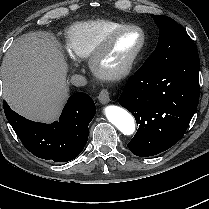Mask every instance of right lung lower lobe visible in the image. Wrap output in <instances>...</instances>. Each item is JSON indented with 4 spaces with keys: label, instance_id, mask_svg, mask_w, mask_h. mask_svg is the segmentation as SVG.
<instances>
[{
    "label": "right lung lower lobe",
    "instance_id": "1",
    "mask_svg": "<svg viewBox=\"0 0 209 209\" xmlns=\"http://www.w3.org/2000/svg\"><path fill=\"white\" fill-rule=\"evenodd\" d=\"M7 120L25 148L33 155L54 162L76 158L88 140V125L96 107L91 97L77 92L68 99L58 121L52 124L30 121L3 101Z\"/></svg>",
    "mask_w": 209,
    "mask_h": 209
}]
</instances>
